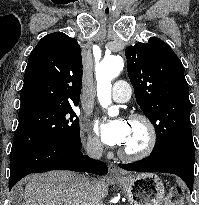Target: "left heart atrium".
<instances>
[{
  "label": "left heart atrium",
  "instance_id": "1",
  "mask_svg": "<svg viewBox=\"0 0 199 205\" xmlns=\"http://www.w3.org/2000/svg\"><path fill=\"white\" fill-rule=\"evenodd\" d=\"M102 141L109 146L123 145L128 134L129 125L125 119H115L97 125Z\"/></svg>",
  "mask_w": 199,
  "mask_h": 205
}]
</instances>
